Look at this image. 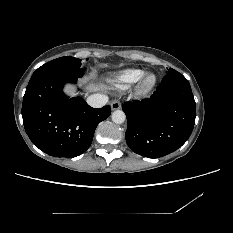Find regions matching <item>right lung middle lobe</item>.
<instances>
[{"label":"right lung middle lobe","mask_w":233,"mask_h":233,"mask_svg":"<svg viewBox=\"0 0 233 233\" xmlns=\"http://www.w3.org/2000/svg\"><path fill=\"white\" fill-rule=\"evenodd\" d=\"M80 66V59L69 56L60 57L48 63H45L44 65L39 67L33 73L32 77H36L42 74H50L54 72H63L75 77H82L85 72V68H80Z\"/></svg>","instance_id":"dd1d6c3e"}]
</instances>
